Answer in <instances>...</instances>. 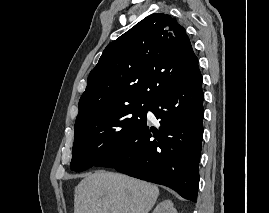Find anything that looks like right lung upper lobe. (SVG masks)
Masks as SVG:
<instances>
[{"instance_id":"obj_1","label":"right lung upper lobe","mask_w":270,"mask_h":213,"mask_svg":"<svg viewBox=\"0 0 270 213\" xmlns=\"http://www.w3.org/2000/svg\"><path fill=\"white\" fill-rule=\"evenodd\" d=\"M185 29L163 13L111 42L90 72L76 123L131 103L152 104L197 67Z\"/></svg>"}]
</instances>
